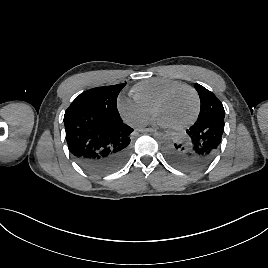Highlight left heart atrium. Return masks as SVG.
Returning <instances> with one entry per match:
<instances>
[{"label": "left heart atrium", "mask_w": 268, "mask_h": 268, "mask_svg": "<svg viewBox=\"0 0 268 268\" xmlns=\"http://www.w3.org/2000/svg\"><path fill=\"white\" fill-rule=\"evenodd\" d=\"M156 122L158 125L162 126V127H168L167 124H165L164 122H162L159 118L156 119Z\"/></svg>", "instance_id": "1"}]
</instances>
